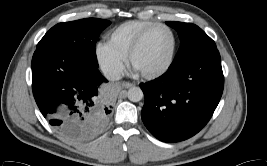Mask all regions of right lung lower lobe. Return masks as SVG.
<instances>
[{"label": "right lung lower lobe", "instance_id": "obj_1", "mask_svg": "<svg viewBox=\"0 0 267 166\" xmlns=\"http://www.w3.org/2000/svg\"><path fill=\"white\" fill-rule=\"evenodd\" d=\"M103 82L98 67L59 48H37L33 55L35 101L50 124L70 138H88L106 126L111 106L99 102Z\"/></svg>", "mask_w": 267, "mask_h": 166}]
</instances>
